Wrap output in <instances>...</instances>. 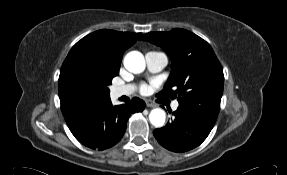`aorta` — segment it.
<instances>
[{
    "label": "aorta",
    "mask_w": 287,
    "mask_h": 175,
    "mask_svg": "<svg viewBox=\"0 0 287 175\" xmlns=\"http://www.w3.org/2000/svg\"><path fill=\"white\" fill-rule=\"evenodd\" d=\"M125 68L134 74L142 73L145 70L146 62L142 53L138 51L129 52L124 58ZM166 113L161 108L151 110L149 114L150 123L157 128L164 126Z\"/></svg>",
    "instance_id": "1"
}]
</instances>
